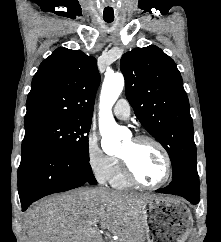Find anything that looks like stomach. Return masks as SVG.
Segmentation results:
<instances>
[{"mask_svg": "<svg viewBox=\"0 0 221 242\" xmlns=\"http://www.w3.org/2000/svg\"><path fill=\"white\" fill-rule=\"evenodd\" d=\"M146 242H185L193 227L190 210L178 198L154 197L140 209Z\"/></svg>", "mask_w": 221, "mask_h": 242, "instance_id": "1", "label": "stomach"}]
</instances>
